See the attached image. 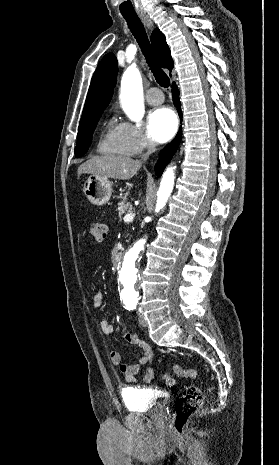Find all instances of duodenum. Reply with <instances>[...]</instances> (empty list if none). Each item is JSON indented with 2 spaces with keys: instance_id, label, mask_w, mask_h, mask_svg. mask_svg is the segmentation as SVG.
Instances as JSON below:
<instances>
[{
  "instance_id": "410a0bca",
  "label": "duodenum",
  "mask_w": 279,
  "mask_h": 465,
  "mask_svg": "<svg viewBox=\"0 0 279 465\" xmlns=\"http://www.w3.org/2000/svg\"><path fill=\"white\" fill-rule=\"evenodd\" d=\"M122 259H123V252H122V251H118V252L115 254V261H116V262H120Z\"/></svg>"
}]
</instances>
